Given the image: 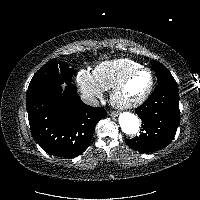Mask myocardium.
<instances>
[{
    "label": "myocardium",
    "mask_w": 200,
    "mask_h": 200,
    "mask_svg": "<svg viewBox=\"0 0 200 200\" xmlns=\"http://www.w3.org/2000/svg\"><path fill=\"white\" fill-rule=\"evenodd\" d=\"M148 72L150 75V83L149 86L147 88V90L145 91V93L138 99L133 100V101H124L122 99H120L119 94L121 92V90L124 88V86L127 84V82L137 73L139 72ZM154 83H155V79H154V75L153 72L144 66L135 68L133 70H131L129 73H127L120 81H118L112 88L111 90V94H110V99L111 102L114 106L120 108V109H133L136 108L140 105H142L143 103H145L147 101V99L150 97L153 88H154Z\"/></svg>",
    "instance_id": "obj_1"
}]
</instances>
